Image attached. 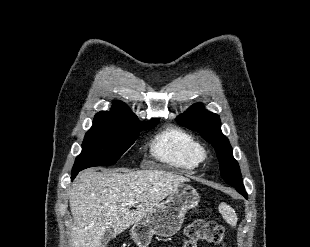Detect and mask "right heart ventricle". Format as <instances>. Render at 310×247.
<instances>
[{"label":"right heart ventricle","mask_w":310,"mask_h":247,"mask_svg":"<svg viewBox=\"0 0 310 247\" xmlns=\"http://www.w3.org/2000/svg\"><path fill=\"white\" fill-rule=\"evenodd\" d=\"M150 147L156 159L183 170L197 168L205 155L200 142L192 134L176 126H169L157 134Z\"/></svg>","instance_id":"obj_1"}]
</instances>
